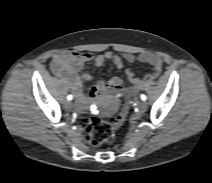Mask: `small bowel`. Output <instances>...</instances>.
Listing matches in <instances>:
<instances>
[{
    "label": "small bowel",
    "mask_w": 212,
    "mask_h": 183,
    "mask_svg": "<svg viewBox=\"0 0 212 183\" xmlns=\"http://www.w3.org/2000/svg\"><path fill=\"white\" fill-rule=\"evenodd\" d=\"M123 60L129 63L142 62L152 66L155 74L162 69V60L159 55L151 52H144L138 56L125 53L122 56L108 51L103 54L94 55L91 53H79L75 51H64L56 53L52 57L53 72L62 78L75 93L78 101V107L81 110L86 108L89 99H95L102 94L122 95L126 92L136 93L143 89V81L138 78L132 71L127 70L126 76L130 82L127 88L123 80L119 77L108 78L102 76L96 86H94L87 98L82 90L83 82H88L91 76L87 73L80 74V70L90 61H93L96 67H101L106 61H111L117 69L123 68Z\"/></svg>",
    "instance_id": "1"
}]
</instances>
